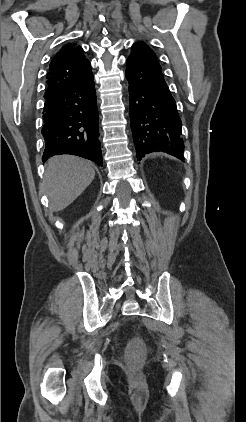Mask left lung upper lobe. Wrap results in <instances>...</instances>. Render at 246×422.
Masks as SVG:
<instances>
[{
    "instance_id": "1",
    "label": "left lung upper lobe",
    "mask_w": 246,
    "mask_h": 422,
    "mask_svg": "<svg viewBox=\"0 0 246 422\" xmlns=\"http://www.w3.org/2000/svg\"><path fill=\"white\" fill-rule=\"evenodd\" d=\"M134 45H138V46H140L141 48H143L145 51H146V53L156 62V64L161 68V66H160V64H159V62H158V60H157V57H156V54L154 53V51L147 45V44H145V43H143V42H140V43H135Z\"/></svg>"
}]
</instances>
